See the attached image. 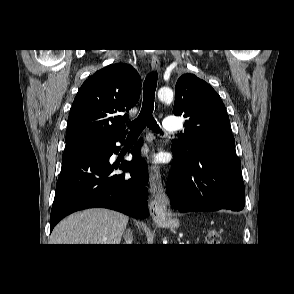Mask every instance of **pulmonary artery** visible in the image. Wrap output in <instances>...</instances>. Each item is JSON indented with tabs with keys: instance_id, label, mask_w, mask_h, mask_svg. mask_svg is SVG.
I'll return each mask as SVG.
<instances>
[{
	"instance_id": "1",
	"label": "pulmonary artery",
	"mask_w": 294,
	"mask_h": 294,
	"mask_svg": "<svg viewBox=\"0 0 294 294\" xmlns=\"http://www.w3.org/2000/svg\"><path fill=\"white\" fill-rule=\"evenodd\" d=\"M178 118L175 116H167L164 119V128L168 131H175L177 129H179V123H178Z\"/></svg>"
}]
</instances>
